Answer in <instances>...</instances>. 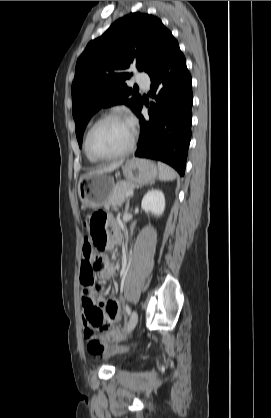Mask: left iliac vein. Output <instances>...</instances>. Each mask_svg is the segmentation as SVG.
<instances>
[{
  "label": "left iliac vein",
  "instance_id": "4c4485c4",
  "mask_svg": "<svg viewBox=\"0 0 271 418\" xmlns=\"http://www.w3.org/2000/svg\"><path fill=\"white\" fill-rule=\"evenodd\" d=\"M137 322H138V314L136 311H133L128 321V324L126 326L125 334H129L135 328Z\"/></svg>",
  "mask_w": 271,
  "mask_h": 418
}]
</instances>
